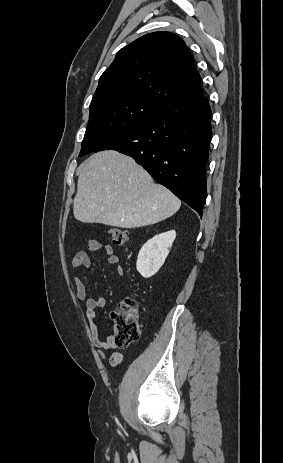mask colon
I'll return each mask as SVG.
<instances>
[{
  "mask_svg": "<svg viewBox=\"0 0 283 463\" xmlns=\"http://www.w3.org/2000/svg\"><path fill=\"white\" fill-rule=\"evenodd\" d=\"M109 236L115 246L122 247L128 243L125 230L110 228ZM113 323V340L116 346L124 347L140 337L139 307L135 299L126 297L119 302L111 313Z\"/></svg>",
  "mask_w": 283,
  "mask_h": 463,
  "instance_id": "colon-1",
  "label": "colon"
}]
</instances>
